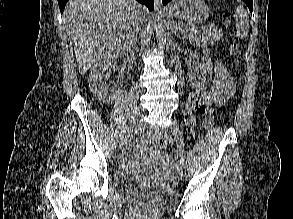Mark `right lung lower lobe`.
Segmentation results:
<instances>
[{
  "mask_svg": "<svg viewBox=\"0 0 293 219\" xmlns=\"http://www.w3.org/2000/svg\"><path fill=\"white\" fill-rule=\"evenodd\" d=\"M67 1L68 0H58V4H59V8H60L61 13H63L64 7H65V4ZM137 1L140 2L141 4L146 5L150 11L153 10V7H154L153 0H137Z\"/></svg>",
  "mask_w": 293,
  "mask_h": 219,
  "instance_id": "1",
  "label": "right lung lower lobe"
}]
</instances>
